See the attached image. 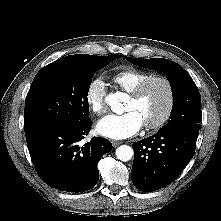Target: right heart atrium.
<instances>
[{"mask_svg": "<svg viewBox=\"0 0 221 221\" xmlns=\"http://www.w3.org/2000/svg\"><path fill=\"white\" fill-rule=\"evenodd\" d=\"M106 87L100 78L91 80L85 91V102L89 109L96 115H102L106 111Z\"/></svg>", "mask_w": 221, "mask_h": 221, "instance_id": "obj_1", "label": "right heart atrium"}]
</instances>
